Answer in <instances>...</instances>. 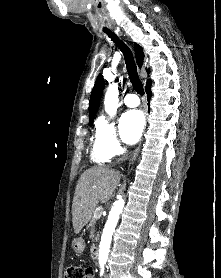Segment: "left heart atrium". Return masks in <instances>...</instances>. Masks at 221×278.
I'll return each instance as SVG.
<instances>
[{
  "instance_id": "1",
  "label": "left heart atrium",
  "mask_w": 221,
  "mask_h": 278,
  "mask_svg": "<svg viewBox=\"0 0 221 278\" xmlns=\"http://www.w3.org/2000/svg\"><path fill=\"white\" fill-rule=\"evenodd\" d=\"M145 120L139 110L125 112L120 118V131L122 139L128 144L136 143L144 129Z\"/></svg>"
}]
</instances>
